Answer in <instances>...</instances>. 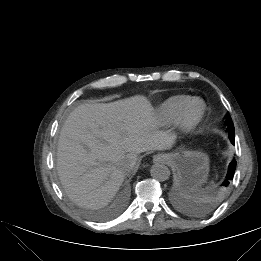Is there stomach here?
<instances>
[{"instance_id":"obj_1","label":"stomach","mask_w":261,"mask_h":261,"mask_svg":"<svg viewBox=\"0 0 261 261\" xmlns=\"http://www.w3.org/2000/svg\"><path fill=\"white\" fill-rule=\"evenodd\" d=\"M164 158L175 172L177 185L185 191H195L208 177L209 158L205 153L180 150Z\"/></svg>"}]
</instances>
